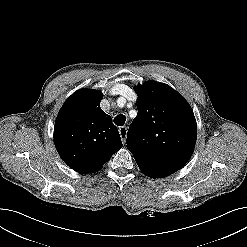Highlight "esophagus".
<instances>
[{
    "label": "esophagus",
    "instance_id": "1",
    "mask_svg": "<svg viewBox=\"0 0 247 247\" xmlns=\"http://www.w3.org/2000/svg\"><path fill=\"white\" fill-rule=\"evenodd\" d=\"M119 134H120L122 143L124 144L126 142V137H127V127L125 126L120 127Z\"/></svg>",
    "mask_w": 247,
    "mask_h": 247
}]
</instances>
